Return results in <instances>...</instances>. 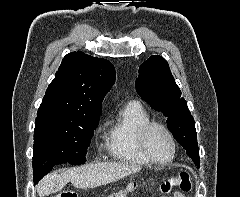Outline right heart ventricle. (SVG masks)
<instances>
[{
	"instance_id": "right-heart-ventricle-1",
	"label": "right heart ventricle",
	"mask_w": 240,
	"mask_h": 197,
	"mask_svg": "<svg viewBox=\"0 0 240 197\" xmlns=\"http://www.w3.org/2000/svg\"><path fill=\"white\" fill-rule=\"evenodd\" d=\"M150 121L146 109L136 101L125 104L117 113L107 131V152L111 158L132 164L148 165L137 141L139 129Z\"/></svg>"
}]
</instances>
